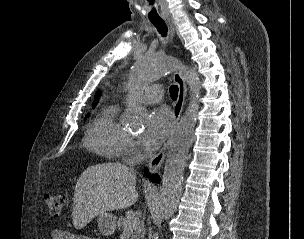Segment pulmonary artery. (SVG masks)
I'll use <instances>...</instances> for the list:
<instances>
[{
    "label": "pulmonary artery",
    "mask_w": 304,
    "mask_h": 239,
    "mask_svg": "<svg viewBox=\"0 0 304 239\" xmlns=\"http://www.w3.org/2000/svg\"><path fill=\"white\" fill-rule=\"evenodd\" d=\"M134 99L143 104L159 103L163 99V89L159 85L144 87L136 93Z\"/></svg>",
    "instance_id": "pulmonary-artery-1"
}]
</instances>
